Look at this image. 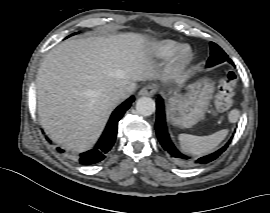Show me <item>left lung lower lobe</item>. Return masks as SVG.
<instances>
[{
	"instance_id": "0a47b994",
	"label": "left lung lower lobe",
	"mask_w": 270,
	"mask_h": 213,
	"mask_svg": "<svg viewBox=\"0 0 270 213\" xmlns=\"http://www.w3.org/2000/svg\"><path fill=\"white\" fill-rule=\"evenodd\" d=\"M157 119H156V134L162 147L167 151L172 161L180 166H191L209 163L218 158L228 147L231 140H229L222 148L216 152L193 159L189 156L182 154L172 143L165 124V112L163 99L159 97L157 99Z\"/></svg>"
}]
</instances>
